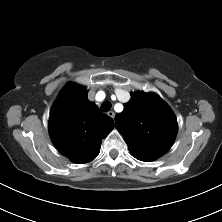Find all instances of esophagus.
Here are the masks:
<instances>
[{"label":"esophagus","instance_id":"obj_1","mask_svg":"<svg viewBox=\"0 0 222 222\" xmlns=\"http://www.w3.org/2000/svg\"><path fill=\"white\" fill-rule=\"evenodd\" d=\"M107 115H108L109 117L113 118V119H114V117H115V113H114L113 111H109V112L107 113Z\"/></svg>","mask_w":222,"mask_h":222}]
</instances>
